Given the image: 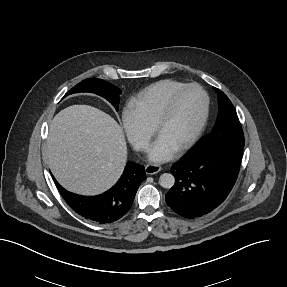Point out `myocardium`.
<instances>
[{"label": "myocardium", "instance_id": "1", "mask_svg": "<svg viewBox=\"0 0 287 287\" xmlns=\"http://www.w3.org/2000/svg\"><path fill=\"white\" fill-rule=\"evenodd\" d=\"M190 89H196L198 90L202 96H203V108H202V114L200 117V120L197 124V126L195 127V129L193 130V132L190 134V136L179 146L175 149L176 152L180 153L185 151L186 149H188L189 147H191L194 142L199 138V136L201 135V133L203 132L207 120H208V115H209V97L206 93V91L199 86L198 84H186L184 86H182L181 88L177 89L175 92H173L170 97L168 98L165 106L163 107L160 115L158 116L154 127H153V132L155 136H158L160 129L162 128V126L166 123V121L169 119L173 107H174V103L177 100V98L184 93L187 90Z\"/></svg>", "mask_w": 287, "mask_h": 287}]
</instances>
